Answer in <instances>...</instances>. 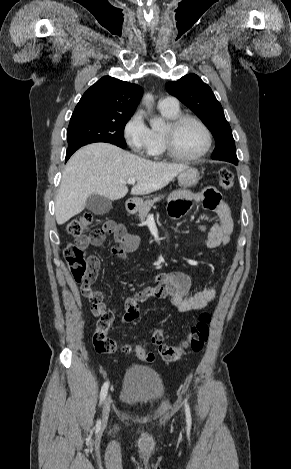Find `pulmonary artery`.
I'll use <instances>...</instances> for the list:
<instances>
[{"label":"pulmonary artery","mask_w":291,"mask_h":469,"mask_svg":"<svg viewBox=\"0 0 291 469\" xmlns=\"http://www.w3.org/2000/svg\"><path fill=\"white\" fill-rule=\"evenodd\" d=\"M159 107L167 109H178L179 103L178 100L173 96H167L161 99L158 103Z\"/></svg>","instance_id":"pulmonary-artery-1"}]
</instances>
